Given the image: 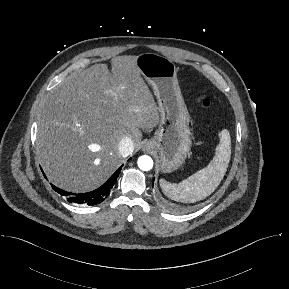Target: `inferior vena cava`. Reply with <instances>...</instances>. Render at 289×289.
I'll return each instance as SVG.
<instances>
[{
  "mask_svg": "<svg viewBox=\"0 0 289 289\" xmlns=\"http://www.w3.org/2000/svg\"><path fill=\"white\" fill-rule=\"evenodd\" d=\"M118 150L123 157L130 155L134 150L132 140L129 137H124L119 143Z\"/></svg>",
  "mask_w": 289,
  "mask_h": 289,
  "instance_id": "inferior-vena-cava-1",
  "label": "inferior vena cava"
}]
</instances>
